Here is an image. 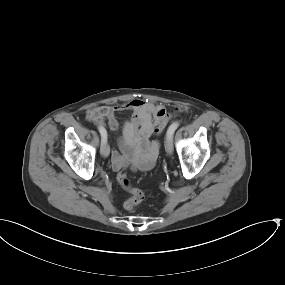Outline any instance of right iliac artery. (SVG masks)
I'll return each mask as SVG.
<instances>
[{
	"mask_svg": "<svg viewBox=\"0 0 285 285\" xmlns=\"http://www.w3.org/2000/svg\"><path fill=\"white\" fill-rule=\"evenodd\" d=\"M98 130L101 134V141L103 142V141L107 140V132H106L105 128L102 126H98Z\"/></svg>",
	"mask_w": 285,
	"mask_h": 285,
	"instance_id": "1",
	"label": "right iliac artery"
}]
</instances>
